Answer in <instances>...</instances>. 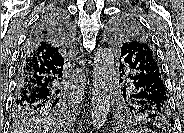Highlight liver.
Here are the masks:
<instances>
[{"instance_id": "liver-1", "label": "liver", "mask_w": 184, "mask_h": 133, "mask_svg": "<svg viewBox=\"0 0 184 133\" xmlns=\"http://www.w3.org/2000/svg\"><path fill=\"white\" fill-rule=\"evenodd\" d=\"M12 133H63V129L53 119L33 117L16 125Z\"/></svg>"}]
</instances>
